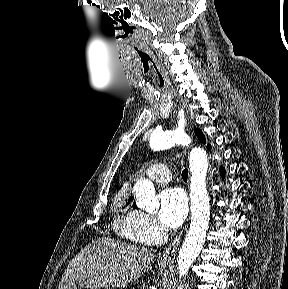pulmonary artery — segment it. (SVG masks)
<instances>
[{"mask_svg":"<svg viewBox=\"0 0 288 289\" xmlns=\"http://www.w3.org/2000/svg\"><path fill=\"white\" fill-rule=\"evenodd\" d=\"M144 174L159 184L168 183L172 176L170 168L162 163L151 165Z\"/></svg>","mask_w":288,"mask_h":289,"instance_id":"pulmonary-artery-1","label":"pulmonary artery"}]
</instances>
